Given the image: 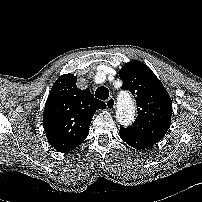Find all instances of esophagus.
Returning <instances> with one entry per match:
<instances>
[{"label": "esophagus", "instance_id": "1", "mask_svg": "<svg viewBox=\"0 0 202 202\" xmlns=\"http://www.w3.org/2000/svg\"><path fill=\"white\" fill-rule=\"evenodd\" d=\"M108 110H113L115 108V99L111 96L105 101Z\"/></svg>", "mask_w": 202, "mask_h": 202}]
</instances>
